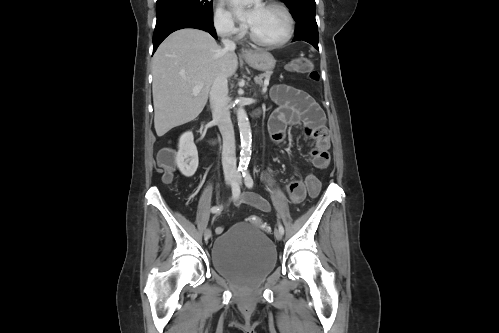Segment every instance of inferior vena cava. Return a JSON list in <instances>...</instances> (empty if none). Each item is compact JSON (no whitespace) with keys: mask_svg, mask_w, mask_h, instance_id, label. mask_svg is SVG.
<instances>
[{"mask_svg":"<svg viewBox=\"0 0 499 333\" xmlns=\"http://www.w3.org/2000/svg\"><path fill=\"white\" fill-rule=\"evenodd\" d=\"M225 50H234L236 44L229 39H222ZM210 105L213 120L217 123L223 138L222 165L224 174L237 172L235 159V136L230 118L228 81L224 73L220 72L215 77L210 90Z\"/></svg>","mask_w":499,"mask_h":333,"instance_id":"602c4592","label":"inferior vena cava"}]
</instances>
